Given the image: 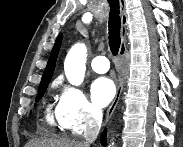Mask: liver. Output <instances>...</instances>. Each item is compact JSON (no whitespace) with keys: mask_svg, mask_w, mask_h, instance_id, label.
Masks as SVG:
<instances>
[{"mask_svg":"<svg viewBox=\"0 0 183 147\" xmlns=\"http://www.w3.org/2000/svg\"><path fill=\"white\" fill-rule=\"evenodd\" d=\"M26 147H88L85 143H81L68 139L57 138H39L29 141Z\"/></svg>","mask_w":183,"mask_h":147,"instance_id":"6515ba94","label":"liver"}]
</instances>
